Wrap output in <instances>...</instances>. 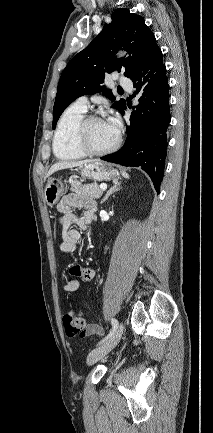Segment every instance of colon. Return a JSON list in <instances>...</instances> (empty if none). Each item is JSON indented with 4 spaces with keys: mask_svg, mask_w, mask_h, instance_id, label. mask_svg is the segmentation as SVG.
I'll return each instance as SVG.
<instances>
[{
    "mask_svg": "<svg viewBox=\"0 0 213 433\" xmlns=\"http://www.w3.org/2000/svg\"><path fill=\"white\" fill-rule=\"evenodd\" d=\"M63 325L66 334L70 337L88 335L85 319L82 313L77 310H69L64 314Z\"/></svg>",
    "mask_w": 213,
    "mask_h": 433,
    "instance_id": "obj_1",
    "label": "colon"
}]
</instances>
